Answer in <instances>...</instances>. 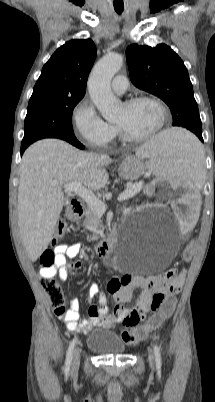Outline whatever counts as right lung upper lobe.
I'll use <instances>...</instances> for the list:
<instances>
[{
  "instance_id": "obj_1",
  "label": "right lung upper lobe",
  "mask_w": 215,
  "mask_h": 402,
  "mask_svg": "<svg viewBox=\"0 0 215 402\" xmlns=\"http://www.w3.org/2000/svg\"><path fill=\"white\" fill-rule=\"evenodd\" d=\"M96 58L91 39H74L58 48L43 66L33 94L83 98L89 72Z\"/></svg>"
}]
</instances>
